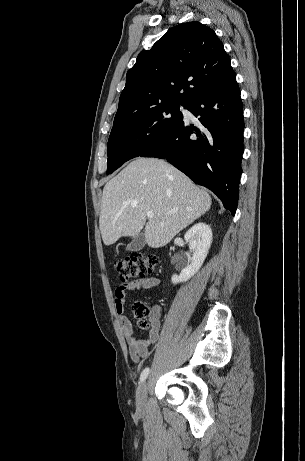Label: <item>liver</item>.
<instances>
[{"instance_id":"liver-1","label":"liver","mask_w":305,"mask_h":461,"mask_svg":"<svg viewBox=\"0 0 305 461\" xmlns=\"http://www.w3.org/2000/svg\"><path fill=\"white\" fill-rule=\"evenodd\" d=\"M211 207V197L185 174L155 158L130 162L103 189L99 227L109 246L145 227L148 246L168 244ZM154 217L146 223V212Z\"/></svg>"}]
</instances>
